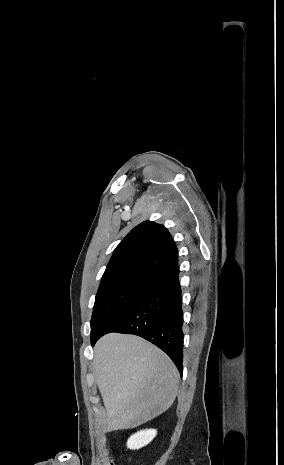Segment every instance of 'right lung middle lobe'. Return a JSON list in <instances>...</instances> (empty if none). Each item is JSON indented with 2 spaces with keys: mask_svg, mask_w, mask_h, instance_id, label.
<instances>
[{
  "mask_svg": "<svg viewBox=\"0 0 284 465\" xmlns=\"http://www.w3.org/2000/svg\"><path fill=\"white\" fill-rule=\"evenodd\" d=\"M153 281L138 276H120L102 280L91 318V339L98 336L107 324L140 296Z\"/></svg>",
  "mask_w": 284,
  "mask_h": 465,
  "instance_id": "dd1d6c3e",
  "label": "right lung middle lobe"
}]
</instances>
